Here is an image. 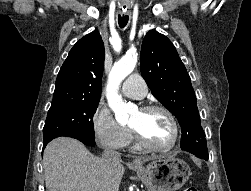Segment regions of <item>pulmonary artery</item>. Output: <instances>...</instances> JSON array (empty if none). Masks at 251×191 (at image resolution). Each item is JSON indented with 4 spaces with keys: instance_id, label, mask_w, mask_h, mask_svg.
Wrapping results in <instances>:
<instances>
[{
    "instance_id": "1",
    "label": "pulmonary artery",
    "mask_w": 251,
    "mask_h": 191,
    "mask_svg": "<svg viewBox=\"0 0 251 191\" xmlns=\"http://www.w3.org/2000/svg\"><path fill=\"white\" fill-rule=\"evenodd\" d=\"M121 90L127 97L135 99L143 98L148 91L145 80L136 73L125 78Z\"/></svg>"
}]
</instances>
